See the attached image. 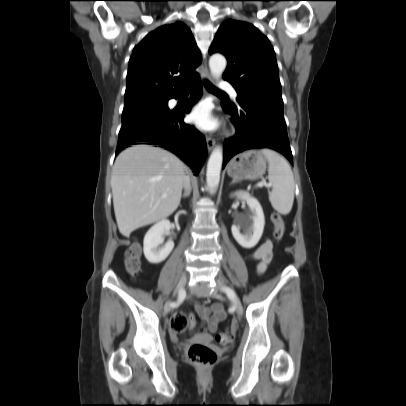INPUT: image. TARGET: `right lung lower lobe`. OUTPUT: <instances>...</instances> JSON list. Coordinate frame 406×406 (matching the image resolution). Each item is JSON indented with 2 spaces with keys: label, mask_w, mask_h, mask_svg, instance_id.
<instances>
[{
  "label": "right lung lower lobe",
  "mask_w": 406,
  "mask_h": 406,
  "mask_svg": "<svg viewBox=\"0 0 406 406\" xmlns=\"http://www.w3.org/2000/svg\"><path fill=\"white\" fill-rule=\"evenodd\" d=\"M192 83L194 92L183 107L184 111L173 110L171 115L157 125L119 134L116 154L135 144L155 145L174 153L193 167L195 175H198L207 154L206 140L193 126H189L183 121L184 112L190 111L191 106L202 93L200 79L197 78Z\"/></svg>",
  "instance_id": "98d812e1"
}]
</instances>
